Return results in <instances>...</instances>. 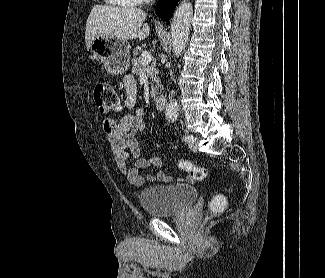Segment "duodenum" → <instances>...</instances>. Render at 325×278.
Masks as SVG:
<instances>
[{
    "label": "duodenum",
    "instance_id": "obj_1",
    "mask_svg": "<svg viewBox=\"0 0 325 278\" xmlns=\"http://www.w3.org/2000/svg\"><path fill=\"white\" fill-rule=\"evenodd\" d=\"M155 108L159 111H163L166 107V99L164 96H157L154 99Z\"/></svg>",
    "mask_w": 325,
    "mask_h": 278
}]
</instances>
